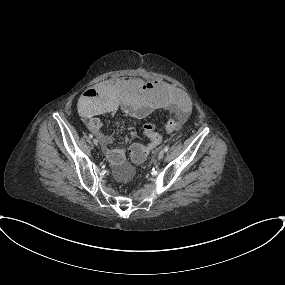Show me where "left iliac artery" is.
Returning a JSON list of instances; mask_svg holds the SVG:
<instances>
[{"label": "left iliac artery", "mask_w": 285, "mask_h": 285, "mask_svg": "<svg viewBox=\"0 0 285 285\" xmlns=\"http://www.w3.org/2000/svg\"><path fill=\"white\" fill-rule=\"evenodd\" d=\"M169 150V146H165L164 151L167 152Z\"/></svg>", "instance_id": "obj_1"}]
</instances>
